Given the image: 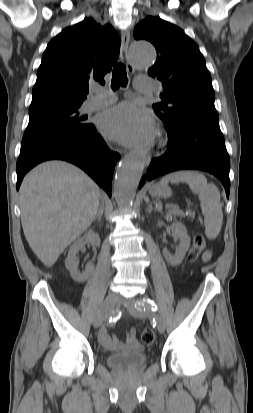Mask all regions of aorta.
<instances>
[{
    "mask_svg": "<svg viewBox=\"0 0 253 413\" xmlns=\"http://www.w3.org/2000/svg\"><path fill=\"white\" fill-rule=\"evenodd\" d=\"M129 55L138 69L149 68L156 57L153 45L144 40L132 42ZM145 160L139 153H129L121 161L114 179V195L118 205L129 207L135 197L141 179Z\"/></svg>",
    "mask_w": 253,
    "mask_h": 413,
    "instance_id": "762f6f07",
    "label": "aorta"
}]
</instances>
